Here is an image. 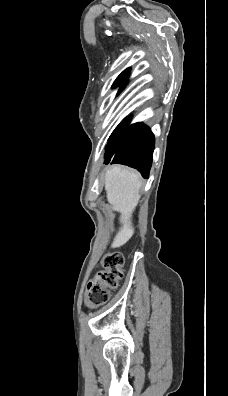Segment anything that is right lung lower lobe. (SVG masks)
<instances>
[{
  "label": "right lung lower lobe",
  "mask_w": 228,
  "mask_h": 396,
  "mask_svg": "<svg viewBox=\"0 0 228 396\" xmlns=\"http://www.w3.org/2000/svg\"><path fill=\"white\" fill-rule=\"evenodd\" d=\"M123 120L114 130L106 147L105 164L120 163L137 169L148 178L154 150V135L141 124Z\"/></svg>",
  "instance_id": "98d812e1"
}]
</instances>
